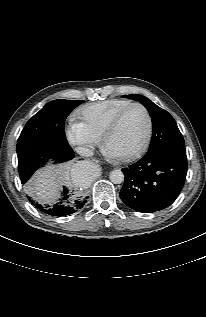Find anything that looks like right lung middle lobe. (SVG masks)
Masks as SVG:
<instances>
[{
  "label": "right lung middle lobe",
  "mask_w": 206,
  "mask_h": 317,
  "mask_svg": "<svg viewBox=\"0 0 206 317\" xmlns=\"http://www.w3.org/2000/svg\"><path fill=\"white\" fill-rule=\"evenodd\" d=\"M82 102L53 100L26 123L17 141V156L20 179L28 192L35 191L34 182L28 181L35 170L49 159L57 161V149L68 144L65 119Z\"/></svg>",
  "instance_id": "right-lung-middle-lobe-1"
}]
</instances>
